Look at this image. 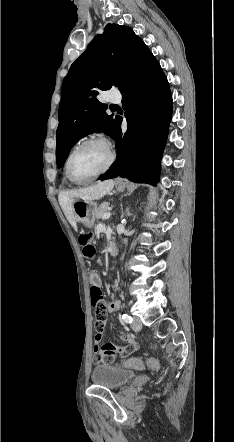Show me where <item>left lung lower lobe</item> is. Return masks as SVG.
<instances>
[{
  "label": "left lung lower lobe",
  "mask_w": 234,
  "mask_h": 442,
  "mask_svg": "<svg viewBox=\"0 0 234 442\" xmlns=\"http://www.w3.org/2000/svg\"><path fill=\"white\" fill-rule=\"evenodd\" d=\"M121 94L128 129L122 134V118L119 117L118 133L114 139L116 161L98 179L120 176L155 186L172 118V95L167 78L153 54L138 77Z\"/></svg>",
  "instance_id": "left-lung-lower-lobe-1"
}]
</instances>
